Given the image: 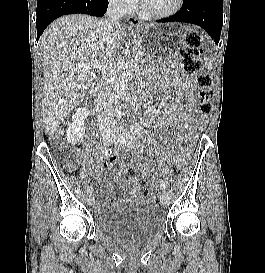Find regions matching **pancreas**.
Returning <instances> with one entry per match:
<instances>
[{
	"mask_svg": "<svg viewBox=\"0 0 265 273\" xmlns=\"http://www.w3.org/2000/svg\"><path fill=\"white\" fill-rule=\"evenodd\" d=\"M135 54L141 56V58H140V60H139L141 63H146L147 61H149V60L152 59V58H150L149 55L145 52V50L142 49V48H136V49H135Z\"/></svg>",
	"mask_w": 265,
	"mask_h": 273,
	"instance_id": "cf45deb5",
	"label": "pancreas"
}]
</instances>
